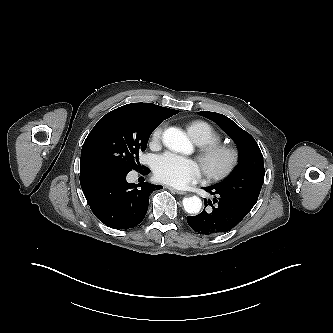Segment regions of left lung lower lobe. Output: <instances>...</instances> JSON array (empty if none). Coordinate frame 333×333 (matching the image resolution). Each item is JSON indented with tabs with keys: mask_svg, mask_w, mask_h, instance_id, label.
<instances>
[{
	"mask_svg": "<svg viewBox=\"0 0 333 333\" xmlns=\"http://www.w3.org/2000/svg\"><path fill=\"white\" fill-rule=\"evenodd\" d=\"M203 189L216 195L213 199L216 204L213 206L211 203V211L203 210L199 215L187 217L189 226L199 234L217 235L230 231L243 220L256 203L245 196L234 195L213 186Z\"/></svg>",
	"mask_w": 333,
	"mask_h": 333,
	"instance_id": "1",
	"label": "left lung lower lobe"
}]
</instances>
